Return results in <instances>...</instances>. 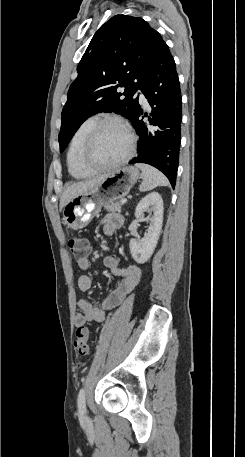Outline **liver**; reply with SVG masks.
Here are the masks:
<instances>
[{"label": "liver", "mask_w": 245, "mask_h": 457, "mask_svg": "<svg viewBox=\"0 0 245 457\" xmlns=\"http://www.w3.org/2000/svg\"><path fill=\"white\" fill-rule=\"evenodd\" d=\"M107 174H101V176H95V178H90V180H81V182H74V184H70L66 190H64L61 198H60V210H62L63 206H65L66 202H69L71 198H75L77 194H81V192H85L97 182H101L106 178Z\"/></svg>", "instance_id": "obj_1"}]
</instances>
